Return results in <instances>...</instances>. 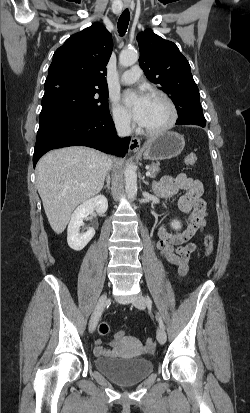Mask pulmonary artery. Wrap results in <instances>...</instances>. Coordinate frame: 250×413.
<instances>
[{"label": "pulmonary artery", "mask_w": 250, "mask_h": 413, "mask_svg": "<svg viewBox=\"0 0 250 413\" xmlns=\"http://www.w3.org/2000/svg\"><path fill=\"white\" fill-rule=\"evenodd\" d=\"M141 76V68L139 66H133L128 71L124 72L121 76V82L123 84H132L139 80Z\"/></svg>", "instance_id": "1"}]
</instances>
